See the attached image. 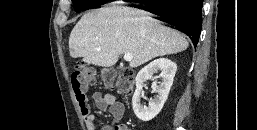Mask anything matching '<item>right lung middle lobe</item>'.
Instances as JSON below:
<instances>
[{
	"mask_svg": "<svg viewBox=\"0 0 257 130\" xmlns=\"http://www.w3.org/2000/svg\"><path fill=\"white\" fill-rule=\"evenodd\" d=\"M75 11L80 12L106 3V0H72Z\"/></svg>",
	"mask_w": 257,
	"mask_h": 130,
	"instance_id": "1",
	"label": "right lung middle lobe"
}]
</instances>
